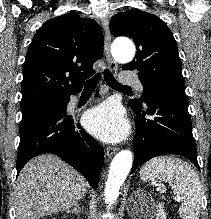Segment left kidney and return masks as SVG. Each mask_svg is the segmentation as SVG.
I'll return each mask as SVG.
<instances>
[{
    "instance_id": "left-kidney-1",
    "label": "left kidney",
    "mask_w": 211,
    "mask_h": 219,
    "mask_svg": "<svg viewBox=\"0 0 211 219\" xmlns=\"http://www.w3.org/2000/svg\"><path fill=\"white\" fill-rule=\"evenodd\" d=\"M149 219H166V213L161 203H156L152 207V211L149 213Z\"/></svg>"
}]
</instances>
